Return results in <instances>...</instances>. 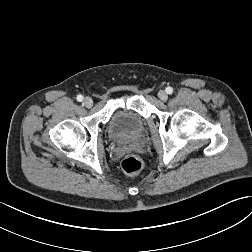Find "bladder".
I'll return each instance as SVG.
<instances>
[{
    "instance_id": "obj_1",
    "label": "bladder",
    "mask_w": 252,
    "mask_h": 252,
    "mask_svg": "<svg viewBox=\"0 0 252 252\" xmlns=\"http://www.w3.org/2000/svg\"><path fill=\"white\" fill-rule=\"evenodd\" d=\"M144 131L143 119L126 110L114 112L108 125V134L116 141L139 139L143 136Z\"/></svg>"
}]
</instances>
